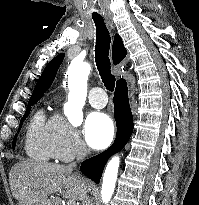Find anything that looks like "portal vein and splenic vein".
Returning a JSON list of instances; mask_svg holds the SVG:
<instances>
[{
    "label": "portal vein and splenic vein",
    "instance_id": "obj_1",
    "mask_svg": "<svg viewBox=\"0 0 199 205\" xmlns=\"http://www.w3.org/2000/svg\"><path fill=\"white\" fill-rule=\"evenodd\" d=\"M67 205H76L74 201L70 200L68 201V204Z\"/></svg>",
    "mask_w": 199,
    "mask_h": 205
}]
</instances>
